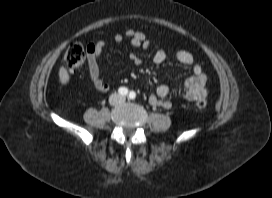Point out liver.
Wrapping results in <instances>:
<instances>
[{
	"label": "liver",
	"instance_id": "obj_1",
	"mask_svg": "<svg viewBox=\"0 0 272 198\" xmlns=\"http://www.w3.org/2000/svg\"><path fill=\"white\" fill-rule=\"evenodd\" d=\"M59 80L60 83L66 85L70 80V75L65 67H60L59 69Z\"/></svg>",
	"mask_w": 272,
	"mask_h": 198
}]
</instances>
